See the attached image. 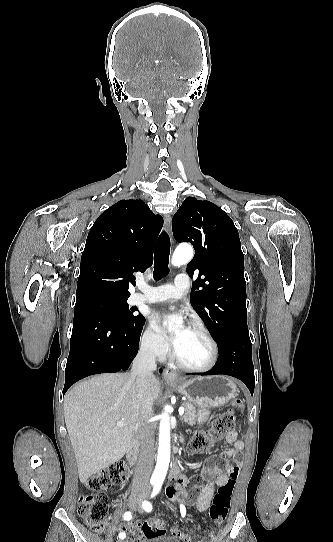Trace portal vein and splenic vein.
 <instances>
[{
	"instance_id": "1",
	"label": "portal vein and splenic vein",
	"mask_w": 333,
	"mask_h": 542,
	"mask_svg": "<svg viewBox=\"0 0 333 542\" xmlns=\"http://www.w3.org/2000/svg\"><path fill=\"white\" fill-rule=\"evenodd\" d=\"M184 412H185V408H179L178 410L179 416H183ZM117 426H124V422H117Z\"/></svg>"
}]
</instances>
